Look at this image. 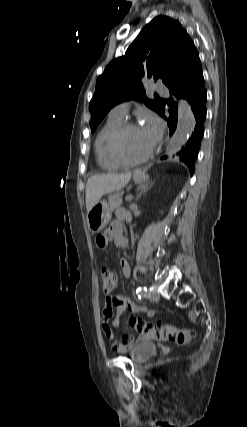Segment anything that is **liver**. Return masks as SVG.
Returning <instances> with one entry per match:
<instances>
[{
  "label": "liver",
  "instance_id": "6515ba94",
  "mask_svg": "<svg viewBox=\"0 0 247 427\" xmlns=\"http://www.w3.org/2000/svg\"><path fill=\"white\" fill-rule=\"evenodd\" d=\"M130 172L125 174H97L91 176L86 184V209L87 212L99 202L101 197L109 192H114L125 187L131 179Z\"/></svg>",
  "mask_w": 247,
  "mask_h": 427
}]
</instances>
